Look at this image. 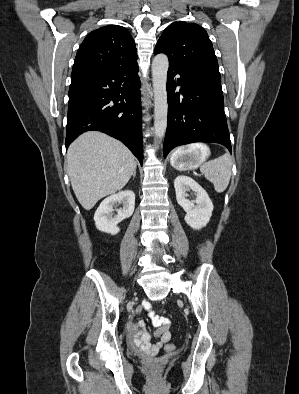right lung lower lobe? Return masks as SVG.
Returning a JSON list of instances; mask_svg holds the SVG:
<instances>
[{"label": "right lung lower lobe", "mask_w": 299, "mask_h": 394, "mask_svg": "<svg viewBox=\"0 0 299 394\" xmlns=\"http://www.w3.org/2000/svg\"><path fill=\"white\" fill-rule=\"evenodd\" d=\"M97 130L122 141L143 164L142 112L137 63L71 78L66 149Z\"/></svg>", "instance_id": "right-lung-lower-lobe-1"}]
</instances>
